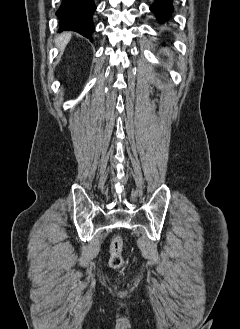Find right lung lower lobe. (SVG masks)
Here are the masks:
<instances>
[{
  "mask_svg": "<svg viewBox=\"0 0 240 329\" xmlns=\"http://www.w3.org/2000/svg\"><path fill=\"white\" fill-rule=\"evenodd\" d=\"M96 10L94 0H62L56 12L59 18V30H72L92 41L94 25L93 13Z\"/></svg>",
  "mask_w": 240,
  "mask_h": 329,
  "instance_id": "98d812e1",
  "label": "right lung lower lobe"
}]
</instances>
